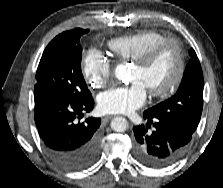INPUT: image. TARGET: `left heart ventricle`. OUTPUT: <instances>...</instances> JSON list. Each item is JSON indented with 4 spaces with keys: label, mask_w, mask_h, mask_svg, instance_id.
I'll list each match as a JSON object with an SVG mask.
<instances>
[{
    "label": "left heart ventricle",
    "mask_w": 223,
    "mask_h": 188,
    "mask_svg": "<svg viewBox=\"0 0 223 188\" xmlns=\"http://www.w3.org/2000/svg\"><path fill=\"white\" fill-rule=\"evenodd\" d=\"M177 66L176 52L169 47L163 50L146 68L133 66L130 80L139 81L147 91L164 88L173 78Z\"/></svg>",
    "instance_id": "obj_1"
}]
</instances>
